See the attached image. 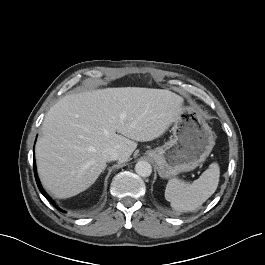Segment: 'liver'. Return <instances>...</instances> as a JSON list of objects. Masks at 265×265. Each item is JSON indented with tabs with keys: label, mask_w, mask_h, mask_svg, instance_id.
Segmentation results:
<instances>
[{
	"label": "liver",
	"mask_w": 265,
	"mask_h": 265,
	"mask_svg": "<svg viewBox=\"0 0 265 265\" xmlns=\"http://www.w3.org/2000/svg\"><path fill=\"white\" fill-rule=\"evenodd\" d=\"M183 98L169 90L122 87L70 94L53 105L36 143V163L46 190L69 198L88 189L113 148L125 162L136 142L152 141L177 120Z\"/></svg>",
	"instance_id": "liver-1"
}]
</instances>
